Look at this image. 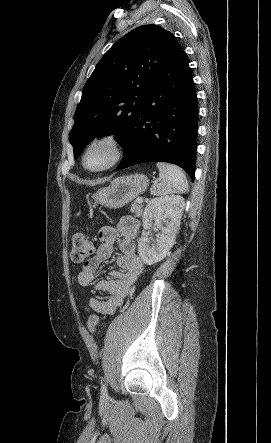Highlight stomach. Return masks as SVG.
<instances>
[{"instance_id": "1", "label": "stomach", "mask_w": 271, "mask_h": 443, "mask_svg": "<svg viewBox=\"0 0 271 443\" xmlns=\"http://www.w3.org/2000/svg\"><path fill=\"white\" fill-rule=\"evenodd\" d=\"M148 186L149 180L143 174L121 176V178L113 180L108 188L98 190L93 198L96 204L116 210V208H122L125 204H129L140 194H144Z\"/></svg>"}]
</instances>
